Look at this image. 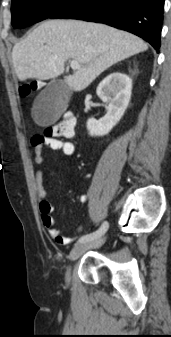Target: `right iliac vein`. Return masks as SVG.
I'll return each mask as SVG.
<instances>
[{
  "label": "right iliac vein",
  "mask_w": 171,
  "mask_h": 337,
  "mask_svg": "<svg viewBox=\"0 0 171 337\" xmlns=\"http://www.w3.org/2000/svg\"><path fill=\"white\" fill-rule=\"evenodd\" d=\"M103 242H104V238H99L95 241H89V242H83V243L76 244L70 252V255H69L70 261L77 260L88 249L100 247L103 244ZM69 275H70V268H68L66 272L67 281L69 280Z\"/></svg>",
  "instance_id": "right-iliac-vein-1"
}]
</instances>
